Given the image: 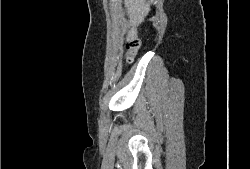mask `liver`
<instances>
[{"label":"liver","mask_w":250,"mask_h":169,"mask_svg":"<svg viewBox=\"0 0 250 169\" xmlns=\"http://www.w3.org/2000/svg\"><path fill=\"white\" fill-rule=\"evenodd\" d=\"M124 4L131 26L127 32V38H133V36H137V26L143 22L150 10V2H146V0H124Z\"/></svg>","instance_id":"1"}]
</instances>
